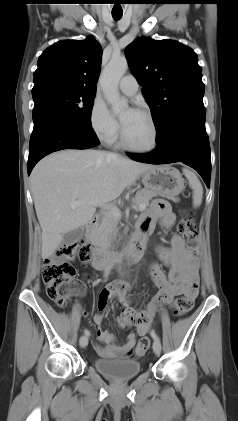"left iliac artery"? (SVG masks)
<instances>
[{
    "label": "left iliac artery",
    "mask_w": 238,
    "mask_h": 421,
    "mask_svg": "<svg viewBox=\"0 0 238 421\" xmlns=\"http://www.w3.org/2000/svg\"><path fill=\"white\" fill-rule=\"evenodd\" d=\"M151 337H152L154 340H159V337L157 336V334L155 333V331H154V330H152V331H151Z\"/></svg>",
    "instance_id": "1"
}]
</instances>
